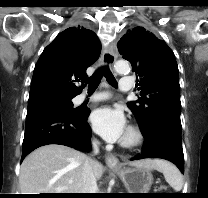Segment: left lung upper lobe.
<instances>
[{
	"mask_svg": "<svg viewBox=\"0 0 208 198\" xmlns=\"http://www.w3.org/2000/svg\"><path fill=\"white\" fill-rule=\"evenodd\" d=\"M117 47L140 78L136 86H140L141 97L127 105L142 134L150 132L158 123H169L181 130L179 71L172 50L143 27L130 30Z\"/></svg>",
	"mask_w": 208,
	"mask_h": 198,
	"instance_id": "obj_1",
	"label": "left lung upper lobe"
}]
</instances>
